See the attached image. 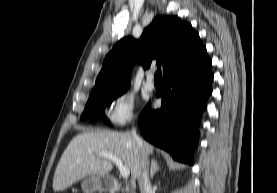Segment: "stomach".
I'll return each mask as SVG.
<instances>
[{
  "mask_svg": "<svg viewBox=\"0 0 277 193\" xmlns=\"http://www.w3.org/2000/svg\"><path fill=\"white\" fill-rule=\"evenodd\" d=\"M81 188L84 193L108 192L113 189V182L106 175L89 176L82 181Z\"/></svg>",
  "mask_w": 277,
  "mask_h": 193,
  "instance_id": "0dacf381",
  "label": "stomach"
}]
</instances>
